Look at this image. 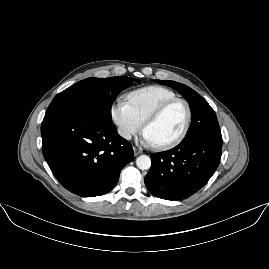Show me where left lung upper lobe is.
I'll return each instance as SVG.
<instances>
[{"label": "left lung upper lobe", "instance_id": "obj_1", "mask_svg": "<svg viewBox=\"0 0 269 269\" xmlns=\"http://www.w3.org/2000/svg\"><path fill=\"white\" fill-rule=\"evenodd\" d=\"M156 82L167 86H173L189 103L192 121L182 142H190L204 136H221L220 127L214 110L196 91L175 81L156 80Z\"/></svg>", "mask_w": 269, "mask_h": 269}]
</instances>
